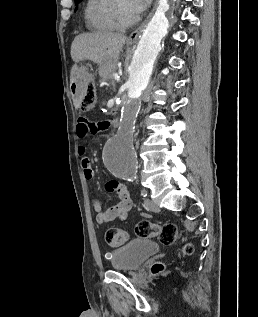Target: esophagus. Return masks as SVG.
<instances>
[{"instance_id": "34e87169", "label": "esophagus", "mask_w": 258, "mask_h": 317, "mask_svg": "<svg viewBox=\"0 0 258 317\" xmlns=\"http://www.w3.org/2000/svg\"><path fill=\"white\" fill-rule=\"evenodd\" d=\"M156 4H157V0L155 2V5H154L152 11L150 12L149 16L147 17V19L138 28H136V30H134L132 33H130L128 40H136L137 38H139L140 34L142 33V31L145 28L146 24L148 23L149 19L151 18L152 14L156 8Z\"/></svg>"}]
</instances>
